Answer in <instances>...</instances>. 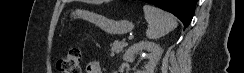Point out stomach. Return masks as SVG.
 <instances>
[{"mask_svg": "<svg viewBox=\"0 0 244 73\" xmlns=\"http://www.w3.org/2000/svg\"><path fill=\"white\" fill-rule=\"evenodd\" d=\"M74 18L90 21L103 31L113 35L126 34L133 30L134 24L127 19H112L94 12L77 9L71 13Z\"/></svg>", "mask_w": 244, "mask_h": 73, "instance_id": "1", "label": "stomach"}]
</instances>
